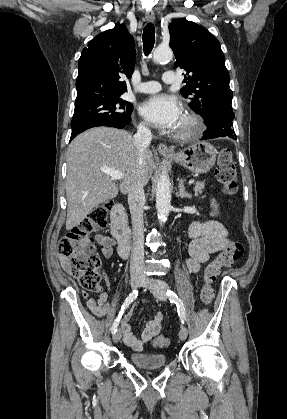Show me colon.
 <instances>
[{
    "mask_svg": "<svg viewBox=\"0 0 287 419\" xmlns=\"http://www.w3.org/2000/svg\"><path fill=\"white\" fill-rule=\"evenodd\" d=\"M215 175L223 186V191L233 195L237 191V169L230 149H223L219 154ZM111 202H104L92 209L80 225L61 238L59 252L68 259L71 273L78 279L80 286L88 292L100 290V268L102 265L99 255L95 251L91 234L107 226ZM244 253L243 245L232 241L205 270L204 285L201 289V302L209 305L215 295L213 283L223 267L239 261ZM152 345L156 348H166L169 339L156 335L152 338Z\"/></svg>",
    "mask_w": 287,
    "mask_h": 419,
    "instance_id": "5ec220e1",
    "label": "colon"
}]
</instances>
